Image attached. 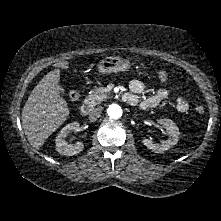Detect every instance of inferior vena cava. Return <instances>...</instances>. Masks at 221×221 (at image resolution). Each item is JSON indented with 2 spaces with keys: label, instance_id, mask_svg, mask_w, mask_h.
Returning a JSON list of instances; mask_svg holds the SVG:
<instances>
[{
  "label": "inferior vena cava",
  "instance_id": "1",
  "mask_svg": "<svg viewBox=\"0 0 221 221\" xmlns=\"http://www.w3.org/2000/svg\"><path fill=\"white\" fill-rule=\"evenodd\" d=\"M101 111H102L101 107L92 109L91 112L89 113V120L92 122L97 120V118L100 117Z\"/></svg>",
  "mask_w": 221,
  "mask_h": 221
}]
</instances>
